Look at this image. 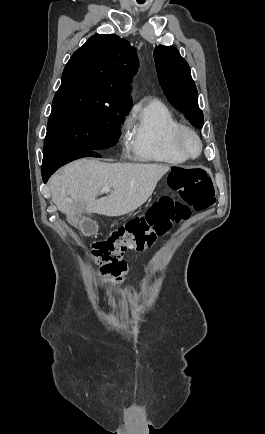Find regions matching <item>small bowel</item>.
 Segmentation results:
<instances>
[{
    "instance_id": "obj_1",
    "label": "small bowel",
    "mask_w": 265,
    "mask_h": 434,
    "mask_svg": "<svg viewBox=\"0 0 265 434\" xmlns=\"http://www.w3.org/2000/svg\"><path fill=\"white\" fill-rule=\"evenodd\" d=\"M133 297H136V294L130 295L127 299H130V298H133ZM127 299H125V300H127Z\"/></svg>"
}]
</instances>
